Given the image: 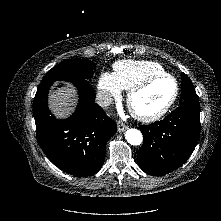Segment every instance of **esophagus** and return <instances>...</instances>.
<instances>
[{
  "instance_id": "obj_1",
  "label": "esophagus",
  "mask_w": 221,
  "mask_h": 221,
  "mask_svg": "<svg viewBox=\"0 0 221 221\" xmlns=\"http://www.w3.org/2000/svg\"><path fill=\"white\" fill-rule=\"evenodd\" d=\"M117 127H118V131L119 132H123V131H125L128 127L123 123V122H121V121H119L118 123H117Z\"/></svg>"
}]
</instances>
